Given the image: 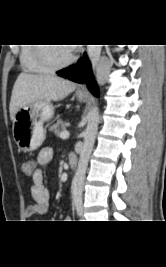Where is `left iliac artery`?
<instances>
[{
  "mask_svg": "<svg viewBox=\"0 0 166 267\" xmlns=\"http://www.w3.org/2000/svg\"><path fill=\"white\" fill-rule=\"evenodd\" d=\"M75 206H76L77 214H78L79 216H81V215H82V212H83V206H82V203H81V202H77V203L75 204Z\"/></svg>",
  "mask_w": 166,
  "mask_h": 267,
  "instance_id": "obj_1",
  "label": "left iliac artery"
}]
</instances>
